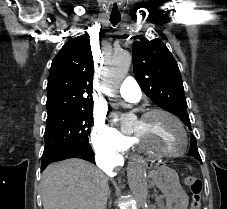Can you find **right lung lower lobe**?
Masks as SVG:
<instances>
[{
	"label": "right lung lower lobe",
	"instance_id": "right-lung-lower-lobe-1",
	"mask_svg": "<svg viewBox=\"0 0 227 209\" xmlns=\"http://www.w3.org/2000/svg\"><path fill=\"white\" fill-rule=\"evenodd\" d=\"M94 153L89 145L80 147H68L46 154L41 164V172L50 164L69 158H81L87 161L94 160Z\"/></svg>",
	"mask_w": 227,
	"mask_h": 209
}]
</instances>
